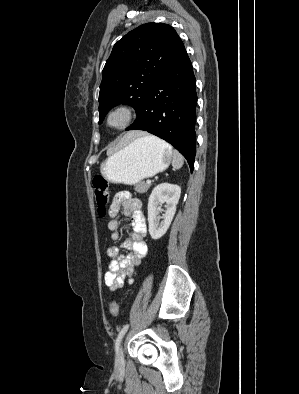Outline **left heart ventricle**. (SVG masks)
Listing matches in <instances>:
<instances>
[{"label": "left heart ventricle", "instance_id": "obj_1", "mask_svg": "<svg viewBox=\"0 0 299 394\" xmlns=\"http://www.w3.org/2000/svg\"><path fill=\"white\" fill-rule=\"evenodd\" d=\"M121 121V117L120 116H115L112 119V124H117Z\"/></svg>", "mask_w": 299, "mask_h": 394}]
</instances>
